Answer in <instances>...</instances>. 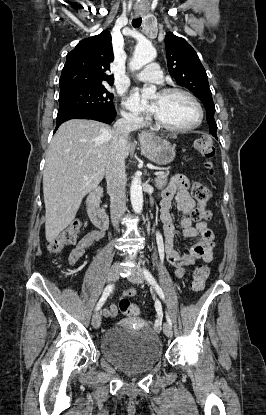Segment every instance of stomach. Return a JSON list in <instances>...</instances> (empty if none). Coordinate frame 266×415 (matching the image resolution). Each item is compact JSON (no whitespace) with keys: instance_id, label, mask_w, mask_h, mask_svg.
Listing matches in <instances>:
<instances>
[{"instance_id":"obj_1","label":"stomach","mask_w":266,"mask_h":415,"mask_svg":"<svg viewBox=\"0 0 266 415\" xmlns=\"http://www.w3.org/2000/svg\"><path fill=\"white\" fill-rule=\"evenodd\" d=\"M141 152L157 165H167L175 157V149L170 142L157 137H150L141 141Z\"/></svg>"}]
</instances>
